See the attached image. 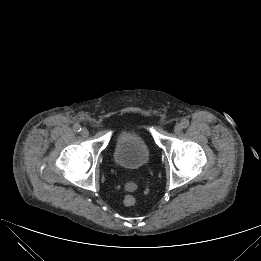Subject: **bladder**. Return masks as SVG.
Listing matches in <instances>:
<instances>
[{
	"label": "bladder",
	"instance_id": "1",
	"mask_svg": "<svg viewBox=\"0 0 261 261\" xmlns=\"http://www.w3.org/2000/svg\"><path fill=\"white\" fill-rule=\"evenodd\" d=\"M114 161L121 168L136 171L144 167L149 158V147L144 133L136 127L116 131Z\"/></svg>",
	"mask_w": 261,
	"mask_h": 261
}]
</instances>
